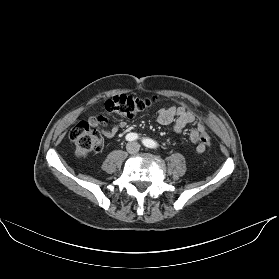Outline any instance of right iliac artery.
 <instances>
[{"instance_id":"right-iliac-artery-1","label":"right iliac artery","mask_w":279,"mask_h":279,"mask_svg":"<svg viewBox=\"0 0 279 279\" xmlns=\"http://www.w3.org/2000/svg\"><path fill=\"white\" fill-rule=\"evenodd\" d=\"M138 138H139V136H138L136 133H129V134H127L126 137H125V139H126L127 141H134V140H136V139H138Z\"/></svg>"}]
</instances>
